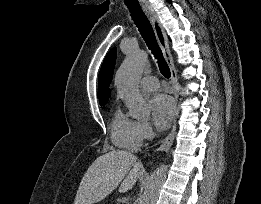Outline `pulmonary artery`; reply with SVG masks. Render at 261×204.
Masks as SVG:
<instances>
[{"instance_id":"1","label":"pulmonary artery","mask_w":261,"mask_h":204,"mask_svg":"<svg viewBox=\"0 0 261 204\" xmlns=\"http://www.w3.org/2000/svg\"><path fill=\"white\" fill-rule=\"evenodd\" d=\"M140 86L144 90L152 91L159 87V81L155 76H146L141 79Z\"/></svg>"}]
</instances>
